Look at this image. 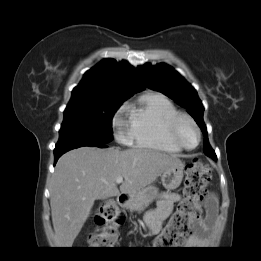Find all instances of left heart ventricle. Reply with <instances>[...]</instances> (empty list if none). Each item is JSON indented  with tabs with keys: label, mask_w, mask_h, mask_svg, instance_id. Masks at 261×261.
Returning a JSON list of instances; mask_svg holds the SVG:
<instances>
[{
	"label": "left heart ventricle",
	"mask_w": 261,
	"mask_h": 261,
	"mask_svg": "<svg viewBox=\"0 0 261 261\" xmlns=\"http://www.w3.org/2000/svg\"><path fill=\"white\" fill-rule=\"evenodd\" d=\"M181 139L188 147H193L197 143V134L190 124H183L181 127Z\"/></svg>",
	"instance_id": "obj_1"
}]
</instances>
